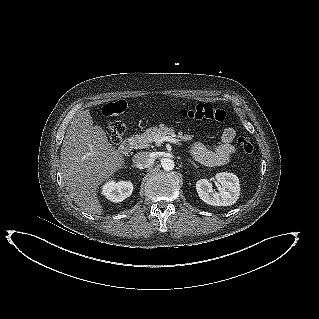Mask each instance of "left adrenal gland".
Returning a JSON list of instances; mask_svg holds the SVG:
<instances>
[{
  "label": "left adrenal gland",
  "instance_id": "left-adrenal-gland-1",
  "mask_svg": "<svg viewBox=\"0 0 319 319\" xmlns=\"http://www.w3.org/2000/svg\"><path fill=\"white\" fill-rule=\"evenodd\" d=\"M188 162H190L193 166L197 167V165L194 162L189 161V160H188Z\"/></svg>",
  "mask_w": 319,
  "mask_h": 319
}]
</instances>
